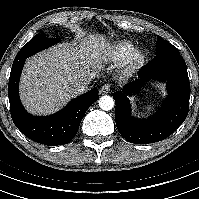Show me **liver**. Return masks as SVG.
<instances>
[{
	"label": "liver",
	"instance_id": "1",
	"mask_svg": "<svg viewBox=\"0 0 199 199\" xmlns=\"http://www.w3.org/2000/svg\"><path fill=\"white\" fill-rule=\"evenodd\" d=\"M109 42L102 34L80 35L72 43L53 46L27 59L19 85L26 110L54 113L76 96L74 84L98 76L107 61Z\"/></svg>",
	"mask_w": 199,
	"mask_h": 199
}]
</instances>
